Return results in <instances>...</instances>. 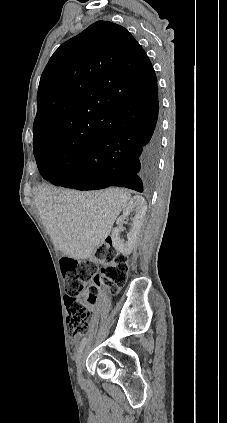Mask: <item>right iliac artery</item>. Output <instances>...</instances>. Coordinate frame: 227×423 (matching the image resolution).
Listing matches in <instances>:
<instances>
[{"mask_svg": "<svg viewBox=\"0 0 227 423\" xmlns=\"http://www.w3.org/2000/svg\"><path fill=\"white\" fill-rule=\"evenodd\" d=\"M87 344V338L86 337H84L82 340H81V343H80V347H79V350H78V353H77V358H76V363H78V360H79V358H80V356H81V354H82V351H83V349H84V347H85V345Z\"/></svg>", "mask_w": 227, "mask_h": 423, "instance_id": "1", "label": "right iliac artery"}]
</instances>
